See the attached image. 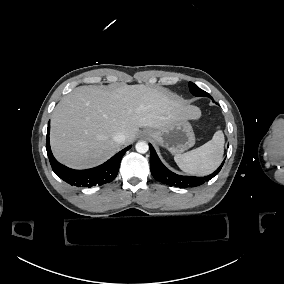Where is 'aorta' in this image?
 Segmentation results:
<instances>
[{"label": "aorta", "mask_w": 284, "mask_h": 284, "mask_svg": "<svg viewBox=\"0 0 284 284\" xmlns=\"http://www.w3.org/2000/svg\"><path fill=\"white\" fill-rule=\"evenodd\" d=\"M135 148L137 152L142 154L146 153L149 150V146L145 141L137 142Z\"/></svg>", "instance_id": "1"}]
</instances>
